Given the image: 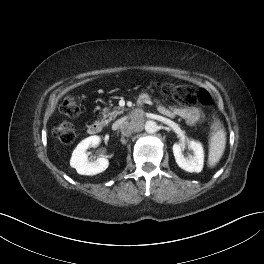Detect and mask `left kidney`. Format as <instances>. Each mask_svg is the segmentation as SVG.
<instances>
[{
    "instance_id": "obj_1",
    "label": "left kidney",
    "mask_w": 264,
    "mask_h": 264,
    "mask_svg": "<svg viewBox=\"0 0 264 264\" xmlns=\"http://www.w3.org/2000/svg\"><path fill=\"white\" fill-rule=\"evenodd\" d=\"M193 150V156L184 157L183 150L186 146ZM173 154L176 163L180 168L188 172H201L204 164V151L201 143L195 140H188L187 142L175 143L173 145Z\"/></svg>"
}]
</instances>
